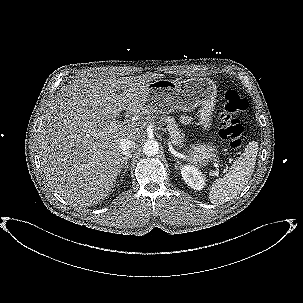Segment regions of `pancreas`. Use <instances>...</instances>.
Returning <instances> with one entry per match:
<instances>
[{
	"label": "pancreas",
	"instance_id": "1",
	"mask_svg": "<svg viewBox=\"0 0 303 303\" xmlns=\"http://www.w3.org/2000/svg\"><path fill=\"white\" fill-rule=\"evenodd\" d=\"M165 123L167 124V129L169 131V134L171 136V142L175 146H179L180 148H183L184 146V135L181 132V130L178 128L174 118L166 117L163 118Z\"/></svg>",
	"mask_w": 303,
	"mask_h": 303
}]
</instances>
